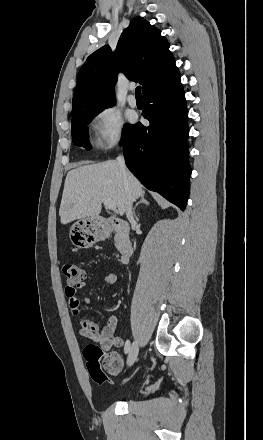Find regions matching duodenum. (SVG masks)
<instances>
[{
  "label": "duodenum",
  "instance_id": "duodenum-1",
  "mask_svg": "<svg viewBox=\"0 0 263 440\" xmlns=\"http://www.w3.org/2000/svg\"><path fill=\"white\" fill-rule=\"evenodd\" d=\"M104 238H107L112 232L117 234L119 243L120 263L128 262L133 254V244L129 236L130 225L118 218L108 217L102 223Z\"/></svg>",
  "mask_w": 263,
  "mask_h": 440
}]
</instances>
